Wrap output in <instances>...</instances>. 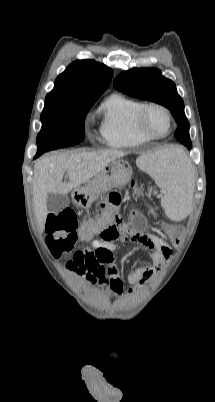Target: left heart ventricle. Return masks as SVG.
<instances>
[{"label":"left heart ventricle","mask_w":215,"mask_h":402,"mask_svg":"<svg viewBox=\"0 0 215 402\" xmlns=\"http://www.w3.org/2000/svg\"><path fill=\"white\" fill-rule=\"evenodd\" d=\"M145 123L148 129L156 134H163L168 128V121L165 114L158 109H149L146 112Z\"/></svg>","instance_id":"left-heart-ventricle-1"}]
</instances>
